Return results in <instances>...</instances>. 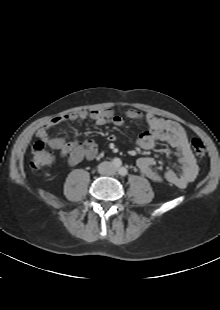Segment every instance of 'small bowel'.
<instances>
[{
  "label": "small bowel",
  "instance_id": "1",
  "mask_svg": "<svg viewBox=\"0 0 220 310\" xmlns=\"http://www.w3.org/2000/svg\"><path fill=\"white\" fill-rule=\"evenodd\" d=\"M86 119H90L96 125H122L126 119L145 120L148 129L139 135L138 145L148 150L154 146L156 141L168 143L177 151L179 169H167L164 172H159L155 168L156 160L154 158L142 157L137 161L140 172L154 182L167 181L177 188H185L195 180L198 174V166L185 129L176 121L166 120L152 113H143L138 109L127 108L122 112H116L113 109H99L90 112L78 111L58 115L39 128L36 136L50 148L59 151L60 156L69 166H75L84 160H93L98 155V146L94 140L87 139L80 142L76 139L49 135V130L62 122L74 121L79 123ZM108 139L114 142L117 136L110 134Z\"/></svg>",
  "mask_w": 220,
  "mask_h": 310
}]
</instances>
